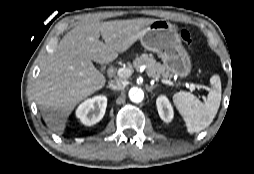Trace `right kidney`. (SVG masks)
<instances>
[{"instance_id":"1","label":"right kidney","mask_w":254,"mask_h":174,"mask_svg":"<svg viewBox=\"0 0 254 174\" xmlns=\"http://www.w3.org/2000/svg\"><path fill=\"white\" fill-rule=\"evenodd\" d=\"M107 107L106 96L100 95L87 99L79 105L76 116L86 126L98 123L104 116Z\"/></svg>"}]
</instances>
